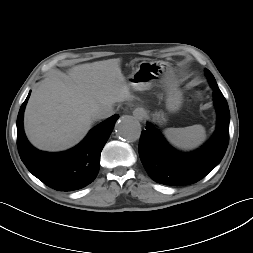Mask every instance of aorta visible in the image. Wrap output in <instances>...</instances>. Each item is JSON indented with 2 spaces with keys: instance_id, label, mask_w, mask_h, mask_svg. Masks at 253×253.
<instances>
[{
  "instance_id": "obj_1",
  "label": "aorta",
  "mask_w": 253,
  "mask_h": 253,
  "mask_svg": "<svg viewBox=\"0 0 253 253\" xmlns=\"http://www.w3.org/2000/svg\"><path fill=\"white\" fill-rule=\"evenodd\" d=\"M116 135L129 142H134L141 135V125L139 121L131 116H124L115 125Z\"/></svg>"
}]
</instances>
